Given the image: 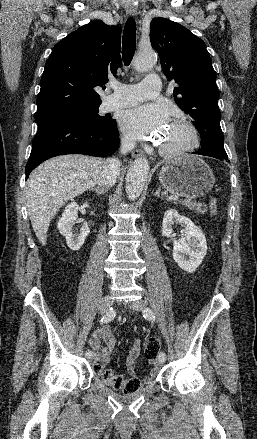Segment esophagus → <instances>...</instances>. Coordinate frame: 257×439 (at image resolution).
I'll return each instance as SVG.
<instances>
[{"mask_svg":"<svg viewBox=\"0 0 257 439\" xmlns=\"http://www.w3.org/2000/svg\"><path fill=\"white\" fill-rule=\"evenodd\" d=\"M125 10L128 16L134 17L137 14V7L132 1H129L125 4ZM132 156L134 158H139L144 156V153L142 150L136 149L132 151Z\"/></svg>","mask_w":257,"mask_h":439,"instance_id":"obj_1","label":"esophagus"}]
</instances>
